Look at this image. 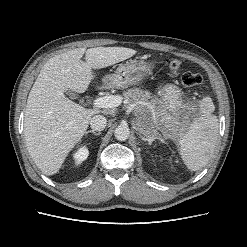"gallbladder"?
<instances>
[{
  "instance_id": "obj_1",
  "label": "gallbladder",
  "mask_w": 247,
  "mask_h": 247,
  "mask_svg": "<svg viewBox=\"0 0 247 247\" xmlns=\"http://www.w3.org/2000/svg\"><path fill=\"white\" fill-rule=\"evenodd\" d=\"M65 93L69 96V98H73V99L78 98V96L70 90H67Z\"/></svg>"
}]
</instances>
